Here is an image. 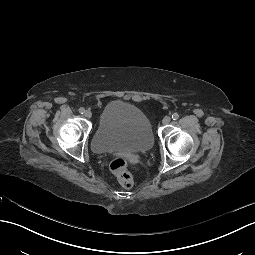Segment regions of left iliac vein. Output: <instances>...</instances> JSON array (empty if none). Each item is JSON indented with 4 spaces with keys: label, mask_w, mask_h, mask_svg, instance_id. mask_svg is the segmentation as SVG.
<instances>
[{
    "label": "left iliac vein",
    "mask_w": 255,
    "mask_h": 255,
    "mask_svg": "<svg viewBox=\"0 0 255 255\" xmlns=\"http://www.w3.org/2000/svg\"><path fill=\"white\" fill-rule=\"evenodd\" d=\"M170 121H171V118H170L169 116H165V117L163 118V120H162V123H163L164 125H166V124H169Z\"/></svg>",
    "instance_id": "obj_1"
}]
</instances>
